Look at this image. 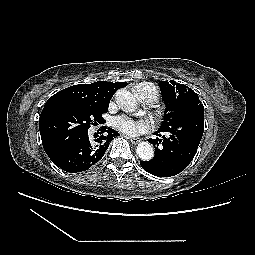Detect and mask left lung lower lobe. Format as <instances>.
<instances>
[{
	"label": "left lung lower lobe",
	"instance_id": "1",
	"mask_svg": "<svg viewBox=\"0 0 255 255\" xmlns=\"http://www.w3.org/2000/svg\"><path fill=\"white\" fill-rule=\"evenodd\" d=\"M204 109L196 113L193 121H180L168 127H160L157 139H148L155 147V157L141 161V167L148 173L170 177L183 171L194 158L203 136ZM166 132L169 136L161 135Z\"/></svg>",
	"mask_w": 255,
	"mask_h": 255
}]
</instances>
